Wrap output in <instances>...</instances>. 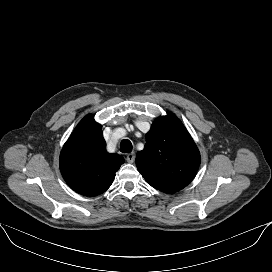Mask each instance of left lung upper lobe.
Returning a JSON list of instances; mask_svg holds the SVG:
<instances>
[{
	"label": "left lung upper lobe",
	"mask_w": 272,
	"mask_h": 272,
	"mask_svg": "<svg viewBox=\"0 0 272 272\" xmlns=\"http://www.w3.org/2000/svg\"><path fill=\"white\" fill-rule=\"evenodd\" d=\"M200 153L182 122L172 113L157 118L136 156V166L148 184L175 193L195 177Z\"/></svg>",
	"instance_id": "5c2ea615"
}]
</instances>
